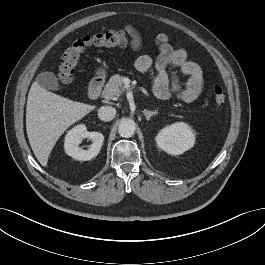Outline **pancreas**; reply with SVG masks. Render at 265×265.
I'll list each match as a JSON object with an SVG mask.
<instances>
[{"instance_id": "obj_1", "label": "pancreas", "mask_w": 265, "mask_h": 265, "mask_svg": "<svg viewBox=\"0 0 265 265\" xmlns=\"http://www.w3.org/2000/svg\"><path fill=\"white\" fill-rule=\"evenodd\" d=\"M123 80L124 77L119 75V74H115L113 75L106 87L104 88L103 92H102V96L105 99H111V100H116L119 98L120 96V90L123 86Z\"/></svg>"}]
</instances>
